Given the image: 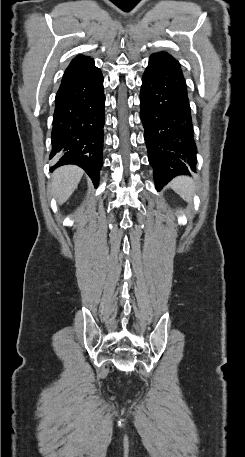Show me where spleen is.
Returning a JSON list of instances; mask_svg holds the SVG:
<instances>
[{"label":"spleen","instance_id":"spleen-1","mask_svg":"<svg viewBox=\"0 0 245 457\" xmlns=\"http://www.w3.org/2000/svg\"><path fill=\"white\" fill-rule=\"evenodd\" d=\"M170 186H172L173 190L178 192L186 202H192V196L195 190L192 178H189V176H176V178H173L172 182H170Z\"/></svg>","mask_w":245,"mask_h":457}]
</instances>
